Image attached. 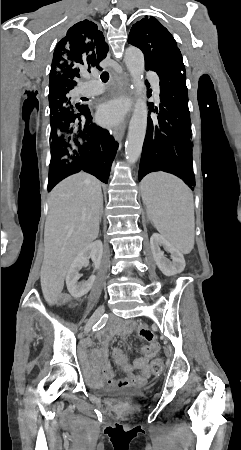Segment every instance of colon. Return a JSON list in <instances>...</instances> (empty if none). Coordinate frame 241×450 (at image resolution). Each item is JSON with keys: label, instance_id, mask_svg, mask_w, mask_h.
Masks as SVG:
<instances>
[{"label": "colon", "instance_id": "5ec220e1", "mask_svg": "<svg viewBox=\"0 0 241 450\" xmlns=\"http://www.w3.org/2000/svg\"><path fill=\"white\" fill-rule=\"evenodd\" d=\"M163 369V361L156 359L152 365V371L154 374L159 375Z\"/></svg>", "mask_w": 241, "mask_h": 450}]
</instances>
